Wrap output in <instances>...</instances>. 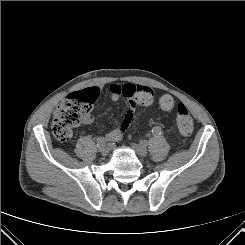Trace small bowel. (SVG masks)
<instances>
[{"label":"small bowel","instance_id":"c3829d8e","mask_svg":"<svg viewBox=\"0 0 245 245\" xmlns=\"http://www.w3.org/2000/svg\"><path fill=\"white\" fill-rule=\"evenodd\" d=\"M138 87L141 85L135 84H118L112 83L109 87L111 99L113 101H117L121 97H125L128 100V109L124 114L123 120L121 121L120 125L108 133L105 136H100L98 139L103 138L107 141H118L122 138L126 130L131 125L133 118L135 116V112L137 109L138 102L135 99V92ZM175 106V99L171 95H164L159 98L158 100V107L162 111H170ZM95 120V116L93 114H87L84 117L83 123L90 124Z\"/></svg>","mask_w":245,"mask_h":245}]
</instances>
